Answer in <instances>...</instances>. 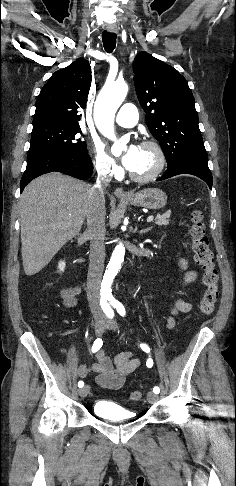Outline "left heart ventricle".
Returning a JSON list of instances; mask_svg holds the SVG:
<instances>
[{
	"instance_id": "1",
	"label": "left heart ventricle",
	"mask_w": 236,
	"mask_h": 486,
	"mask_svg": "<svg viewBox=\"0 0 236 486\" xmlns=\"http://www.w3.org/2000/svg\"><path fill=\"white\" fill-rule=\"evenodd\" d=\"M156 163L157 156L155 151L148 147H140L136 163L131 171L138 175H145L155 168Z\"/></svg>"
}]
</instances>
